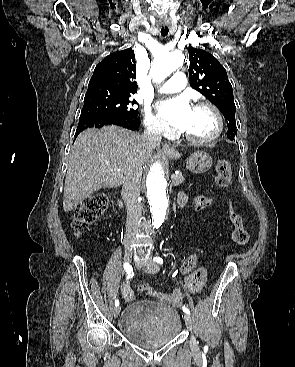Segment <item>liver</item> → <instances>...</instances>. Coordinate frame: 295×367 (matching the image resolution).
<instances>
[{
  "label": "liver",
  "mask_w": 295,
  "mask_h": 367,
  "mask_svg": "<svg viewBox=\"0 0 295 367\" xmlns=\"http://www.w3.org/2000/svg\"><path fill=\"white\" fill-rule=\"evenodd\" d=\"M157 146V145H156ZM143 135L118 126L81 132L69 155L63 209L69 212L102 188L118 187L127 177L141 178L152 149ZM113 170H119V175Z\"/></svg>",
  "instance_id": "1"
}]
</instances>
